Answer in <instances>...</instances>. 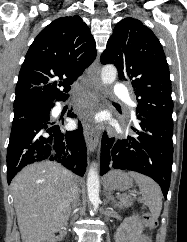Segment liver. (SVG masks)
<instances>
[{
    "label": "liver",
    "instance_id": "1",
    "mask_svg": "<svg viewBox=\"0 0 187 242\" xmlns=\"http://www.w3.org/2000/svg\"><path fill=\"white\" fill-rule=\"evenodd\" d=\"M78 179L56 162L22 169L11 183L22 242H42L67 224L71 189Z\"/></svg>",
    "mask_w": 187,
    "mask_h": 242
}]
</instances>
